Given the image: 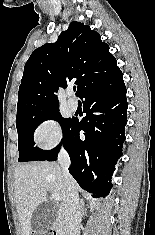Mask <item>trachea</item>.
Wrapping results in <instances>:
<instances>
[{
	"instance_id": "obj_1",
	"label": "trachea",
	"mask_w": 155,
	"mask_h": 235,
	"mask_svg": "<svg viewBox=\"0 0 155 235\" xmlns=\"http://www.w3.org/2000/svg\"><path fill=\"white\" fill-rule=\"evenodd\" d=\"M73 89H74V91H75V90H76V87H74Z\"/></svg>"
}]
</instances>
